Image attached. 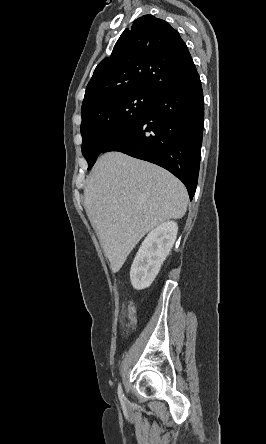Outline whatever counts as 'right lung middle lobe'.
I'll use <instances>...</instances> for the list:
<instances>
[{"mask_svg": "<svg viewBox=\"0 0 266 444\" xmlns=\"http://www.w3.org/2000/svg\"><path fill=\"white\" fill-rule=\"evenodd\" d=\"M155 98L156 94L147 91H124L104 97L81 111V149L88 170L109 141L150 112Z\"/></svg>", "mask_w": 266, "mask_h": 444, "instance_id": "obj_1", "label": "right lung middle lobe"}]
</instances>
